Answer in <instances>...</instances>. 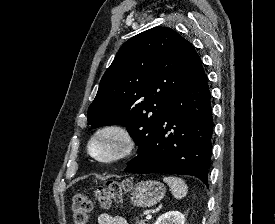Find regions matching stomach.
Segmentation results:
<instances>
[{
	"mask_svg": "<svg viewBox=\"0 0 275 224\" xmlns=\"http://www.w3.org/2000/svg\"><path fill=\"white\" fill-rule=\"evenodd\" d=\"M166 189L155 180L141 181L133 187L131 203L137 207H152L165 196Z\"/></svg>",
	"mask_w": 275,
	"mask_h": 224,
	"instance_id": "0dacf381",
	"label": "stomach"
}]
</instances>
